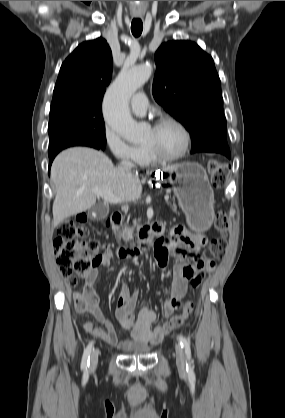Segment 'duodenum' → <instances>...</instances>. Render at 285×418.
Returning a JSON list of instances; mask_svg holds the SVG:
<instances>
[{
	"label": "duodenum",
	"mask_w": 285,
	"mask_h": 418,
	"mask_svg": "<svg viewBox=\"0 0 285 418\" xmlns=\"http://www.w3.org/2000/svg\"><path fill=\"white\" fill-rule=\"evenodd\" d=\"M123 222V218L120 212H114L111 216V224L112 228L117 231L119 230L121 224ZM155 231V227H148L145 228L141 233V238L143 239V244L140 247L136 248H127V247H121L118 249L117 254L122 259H128L133 255H139L143 253L145 248L147 247V244L145 243V240Z\"/></svg>",
	"instance_id": "410a0bca"
}]
</instances>
